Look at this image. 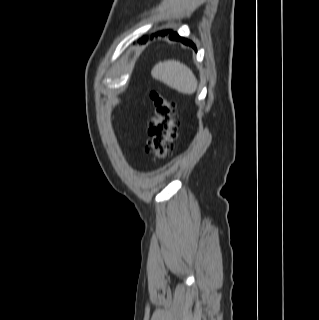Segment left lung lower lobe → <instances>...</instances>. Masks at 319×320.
<instances>
[{
    "mask_svg": "<svg viewBox=\"0 0 319 320\" xmlns=\"http://www.w3.org/2000/svg\"><path fill=\"white\" fill-rule=\"evenodd\" d=\"M167 33H168V31H163V32H159L157 34L166 35ZM169 38L172 39V40L181 41L182 43H184L186 45H189V46H192L194 49H196L195 45L190 40H187V39H185L183 37H180L176 32H171Z\"/></svg>",
    "mask_w": 319,
    "mask_h": 320,
    "instance_id": "left-lung-lower-lobe-1",
    "label": "left lung lower lobe"
}]
</instances>
